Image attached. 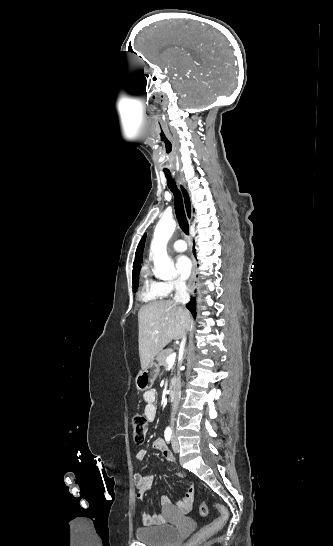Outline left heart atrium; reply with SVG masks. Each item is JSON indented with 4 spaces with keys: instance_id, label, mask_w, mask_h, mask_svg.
<instances>
[{
    "instance_id": "1",
    "label": "left heart atrium",
    "mask_w": 333,
    "mask_h": 546,
    "mask_svg": "<svg viewBox=\"0 0 333 546\" xmlns=\"http://www.w3.org/2000/svg\"><path fill=\"white\" fill-rule=\"evenodd\" d=\"M175 266H176L177 273L179 274L181 278L185 279L190 275L192 270V262L187 256L185 255L178 256L176 258Z\"/></svg>"
}]
</instances>
